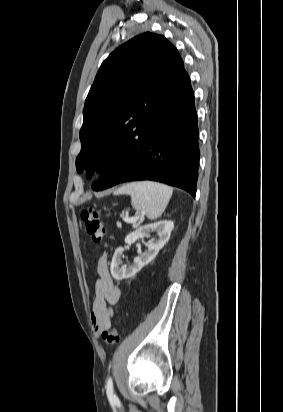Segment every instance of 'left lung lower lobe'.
<instances>
[{
	"instance_id": "obj_1",
	"label": "left lung lower lobe",
	"mask_w": 283,
	"mask_h": 412,
	"mask_svg": "<svg viewBox=\"0 0 283 412\" xmlns=\"http://www.w3.org/2000/svg\"><path fill=\"white\" fill-rule=\"evenodd\" d=\"M199 157L197 114L188 76L140 144H128L109 156L93 189L153 180L181 188L195 197Z\"/></svg>"
}]
</instances>
